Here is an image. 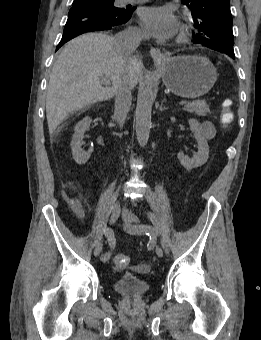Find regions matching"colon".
I'll list each match as a JSON object with an SVG mask.
<instances>
[{
  "label": "colon",
  "mask_w": 261,
  "mask_h": 340,
  "mask_svg": "<svg viewBox=\"0 0 261 340\" xmlns=\"http://www.w3.org/2000/svg\"><path fill=\"white\" fill-rule=\"evenodd\" d=\"M231 106H232V101L230 99H225L221 103V122L224 125H229L234 119ZM128 263H129V258L128 256L124 254H118L114 258V266L118 270H122L126 268Z\"/></svg>",
  "instance_id": "colon-1"
}]
</instances>
